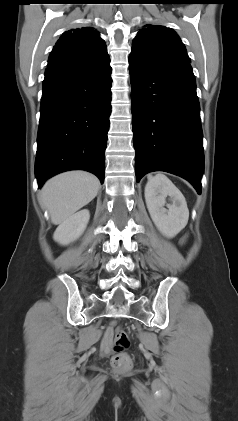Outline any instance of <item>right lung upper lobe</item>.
Wrapping results in <instances>:
<instances>
[{
	"label": "right lung upper lobe",
	"mask_w": 238,
	"mask_h": 421,
	"mask_svg": "<svg viewBox=\"0 0 238 421\" xmlns=\"http://www.w3.org/2000/svg\"><path fill=\"white\" fill-rule=\"evenodd\" d=\"M109 60L105 41L91 28L66 31L54 46L48 66Z\"/></svg>",
	"instance_id": "right-lung-upper-lobe-1"
}]
</instances>
